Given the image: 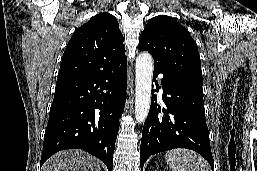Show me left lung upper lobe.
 <instances>
[{
    "mask_svg": "<svg viewBox=\"0 0 257 171\" xmlns=\"http://www.w3.org/2000/svg\"><path fill=\"white\" fill-rule=\"evenodd\" d=\"M138 49L148 51L155 65L184 74L202 86L197 44L188 30L171 17L150 19L139 37Z\"/></svg>",
    "mask_w": 257,
    "mask_h": 171,
    "instance_id": "obj_1",
    "label": "left lung upper lobe"
}]
</instances>
